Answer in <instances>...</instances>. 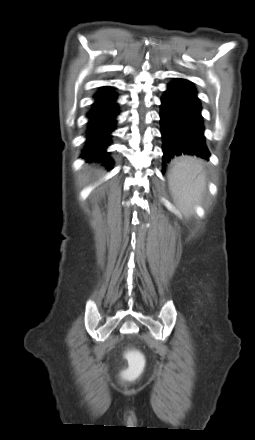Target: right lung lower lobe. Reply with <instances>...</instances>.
<instances>
[{"mask_svg":"<svg viewBox=\"0 0 255 440\" xmlns=\"http://www.w3.org/2000/svg\"><path fill=\"white\" fill-rule=\"evenodd\" d=\"M118 94L113 87H101L94 95V103L87 113L88 123L86 130L83 157L89 160H98L103 165L112 167L114 162L106 148L112 142V132L117 127V116L120 113L117 103Z\"/></svg>","mask_w":255,"mask_h":440,"instance_id":"98d812e1","label":"right lung lower lobe"}]
</instances>
